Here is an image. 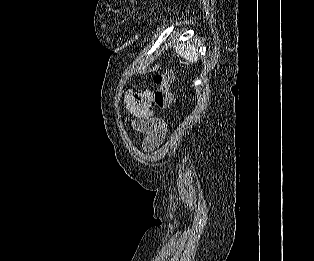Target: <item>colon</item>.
Instances as JSON below:
<instances>
[{
    "instance_id": "obj_1",
    "label": "colon",
    "mask_w": 314,
    "mask_h": 261,
    "mask_svg": "<svg viewBox=\"0 0 314 261\" xmlns=\"http://www.w3.org/2000/svg\"><path fill=\"white\" fill-rule=\"evenodd\" d=\"M153 80L157 85V90L154 94V104L160 109H167L172 103V93L170 85L174 80L172 70H164L155 73Z\"/></svg>"
}]
</instances>
